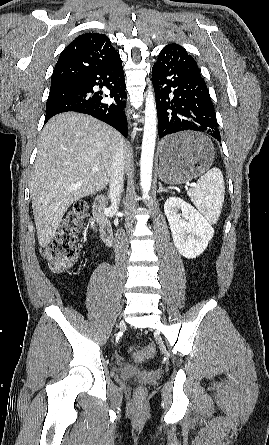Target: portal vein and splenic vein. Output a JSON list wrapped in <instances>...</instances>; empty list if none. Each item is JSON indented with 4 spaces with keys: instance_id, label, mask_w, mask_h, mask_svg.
Listing matches in <instances>:
<instances>
[{
    "instance_id": "18ae733b",
    "label": "portal vein and splenic vein",
    "mask_w": 269,
    "mask_h": 445,
    "mask_svg": "<svg viewBox=\"0 0 269 445\" xmlns=\"http://www.w3.org/2000/svg\"><path fill=\"white\" fill-rule=\"evenodd\" d=\"M92 171H93V172H96V171H98V168H97V167H94V168H92ZM190 186H194V184H191Z\"/></svg>"
}]
</instances>
